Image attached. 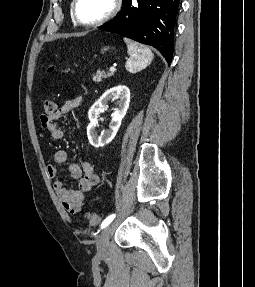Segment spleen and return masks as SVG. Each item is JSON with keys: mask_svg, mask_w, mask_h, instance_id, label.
<instances>
[{"mask_svg": "<svg viewBox=\"0 0 255 287\" xmlns=\"http://www.w3.org/2000/svg\"><path fill=\"white\" fill-rule=\"evenodd\" d=\"M125 44H127L128 54L130 56L128 62H126V70L128 72H138V70H144L153 60L154 54L147 46L138 44V42H132L128 38H124Z\"/></svg>", "mask_w": 255, "mask_h": 287, "instance_id": "spleen-1", "label": "spleen"}]
</instances>
